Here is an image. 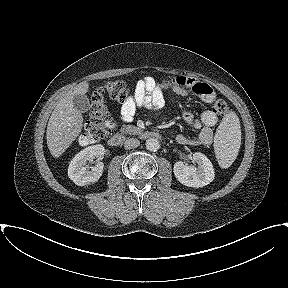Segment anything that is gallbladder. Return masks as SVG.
I'll return each instance as SVG.
<instances>
[{"mask_svg":"<svg viewBox=\"0 0 288 288\" xmlns=\"http://www.w3.org/2000/svg\"><path fill=\"white\" fill-rule=\"evenodd\" d=\"M74 107L81 112H87L90 106L89 99L86 95H75L73 97Z\"/></svg>","mask_w":288,"mask_h":288,"instance_id":"bac80fb5","label":"gallbladder"}]
</instances>
